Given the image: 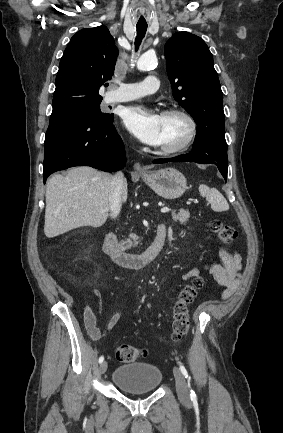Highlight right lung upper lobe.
Segmentation results:
<instances>
[{
    "mask_svg": "<svg viewBox=\"0 0 283 433\" xmlns=\"http://www.w3.org/2000/svg\"><path fill=\"white\" fill-rule=\"evenodd\" d=\"M117 56L114 38L106 26L78 31L59 64L52 113L102 101L99 89L111 80Z\"/></svg>",
    "mask_w": 283,
    "mask_h": 433,
    "instance_id": "1",
    "label": "right lung upper lobe"
}]
</instances>
